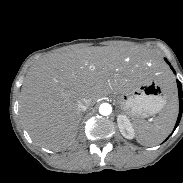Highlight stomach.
I'll return each mask as SVG.
<instances>
[{"label":"stomach","instance_id":"obj_1","mask_svg":"<svg viewBox=\"0 0 183 183\" xmlns=\"http://www.w3.org/2000/svg\"><path fill=\"white\" fill-rule=\"evenodd\" d=\"M134 72L133 82L119 96L122 109L136 118H145L160 112L168 95L165 83L156 76L154 65H140Z\"/></svg>","mask_w":183,"mask_h":183}]
</instances>
